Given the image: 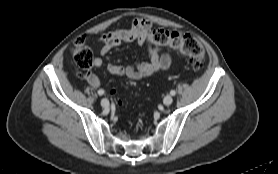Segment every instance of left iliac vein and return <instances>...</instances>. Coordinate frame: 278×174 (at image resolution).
<instances>
[{
    "instance_id": "4c4485c4",
    "label": "left iliac vein",
    "mask_w": 278,
    "mask_h": 174,
    "mask_svg": "<svg viewBox=\"0 0 278 174\" xmlns=\"http://www.w3.org/2000/svg\"><path fill=\"white\" fill-rule=\"evenodd\" d=\"M172 102H173V98L170 95L165 96L163 99V103L166 106L171 105Z\"/></svg>"
}]
</instances>
